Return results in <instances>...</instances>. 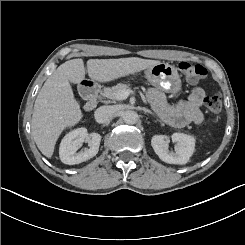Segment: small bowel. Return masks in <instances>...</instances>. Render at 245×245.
Listing matches in <instances>:
<instances>
[{
	"instance_id": "c3829d8e",
	"label": "small bowel",
	"mask_w": 245,
	"mask_h": 245,
	"mask_svg": "<svg viewBox=\"0 0 245 245\" xmlns=\"http://www.w3.org/2000/svg\"><path fill=\"white\" fill-rule=\"evenodd\" d=\"M147 97L156 113L173 127H184L191 123L199 125L204 121L202 106L206 93L201 87L193 88L186 100L174 105H170L165 95L154 88L148 90Z\"/></svg>"
}]
</instances>
